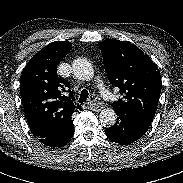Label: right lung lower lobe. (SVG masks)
Masks as SVG:
<instances>
[{
	"label": "right lung lower lobe",
	"instance_id": "obj_1",
	"mask_svg": "<svg viewBox=\"0 0 183 183\" xmlns=\"http://www.w3.org/2000/svg\"><path fill=\"white\" fill-rule=\"evenodd\" d=\"M74 134V130L70 132L67 135L64 136H59V137H45V138H38L40 142H42L44 145L49 146V147H61L67 144L72 136Z\"/></svg>",
	"mask_w": 183,
	"mask_h": 183
}]
</instances>
